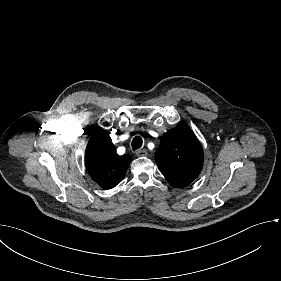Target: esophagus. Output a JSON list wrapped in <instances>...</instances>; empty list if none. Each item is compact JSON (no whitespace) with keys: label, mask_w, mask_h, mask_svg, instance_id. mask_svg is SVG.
<instances>
[{"label":"esophagus","mask_w":281,"mask_h":281,"mask_svg":"<svg viewBox=\"0 0 281 281\" xmlns=\"http://www.w3.org/2000/svg\"><path fill=\"white\" fill-rule=\"evenodd\" d=\"M136 154H137V156H139V157H145V156L148 155V152H147L146 150L142 149V150H138V151L136 152Z\"/></svg>","instance_id":"1"}]
</instances>
